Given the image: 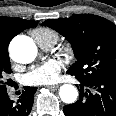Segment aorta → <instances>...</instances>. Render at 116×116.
Segmentation results:
<instances>
[{
    "instance_id": "762f6f07",
    "label": "aorta",
    "mask_w": 116,
    "mask_h": 116,
    "mask_svg": "<svg viewBox=\"0 0 116 116\" xmlns=\"http://www.w3.org/2000/svg\"><path fill=\"white\" fill-rule=\"evenodd\" d=\"M9 52L11 58L21 64L33 62L38 54L35 43L27 36L15 37L10 43ZM59 95L64 103L72 104L77 100L78 91L75 86L64 84L60 87Z\"/></svg>"
}]
</instances>
